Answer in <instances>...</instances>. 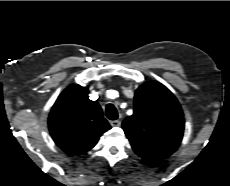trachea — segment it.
<instances>
[{
	"label": "trachea",
	"mask_w": 230,
	"mask_h": 186,
	"mask_svg": "<svg viewBox=\"0 0 230 186\" xmlns=\"http://www.w3.org/2000/svg\"><path fill=\"white\" fill-rule=\"evenodd\" d=\"M106 116L110 120H116L118 118V113L113 104H107L106 106Z\"/></svg>",
	"instance_id": "trachea-1"
}]
</instances>
